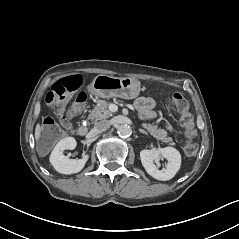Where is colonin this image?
Instances as JSON below:
<instances>
[{"label":"colon","mask_w":239,"mask_h":239,"mask_svg":"<svg viewBox=\"0 0 239 239\" xmlns=\"http://www.w3.org/2000/svg\"><path fill=\"white\" fill-rule=\"evenodd\" d=\"M81 83L82 79L79 75H70L59 79L53 84L51 91L47 94V103L52 106L62 107L66 99L79 89ZM86 100L87 95L84 92L77 94L75 102L67 115L59 114L62 126H69L70 120L77 117L83 110ZM171 103L174 109L180 113V124L185 130V153L187 155H194L197 152L198 145L195 140L194 118L189 111V104L180 93L172 95ZM43 136L48 142H53L63 136V131L51 118H47L43 124Z\"/></svg>","instance_id":"1"}]
</instances>
